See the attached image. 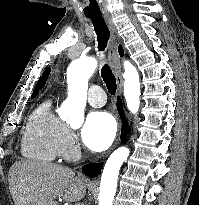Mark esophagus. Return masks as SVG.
<instances>
[{
    "label": "esophagus",
    "mask_w": 199,
    "mask_h": 205,
    "mask_svg": "<svg viewBox=\"0 0 199 205\" xmlns=\"http://www.w3.org/2000/svg\"><path fill=\"white\" fill-rule=\"evenodd\" d=\"M105 21L109 27L110 30V43H109V50H108V59L111 64V67L115 73L116 76V83H117V91L118 94H121L122 92V86H123V79L121 76V67H120V61L118 56V43H119V36L117 33V28L115 24L113 23L112 19L110 17H106ZM118 144V141L106 152L100 154L94 162L100 163L105 160V158L109 155V153L114 149V147Z\"/></svg>",
    "instance_id": "1"
}]
</instances>
